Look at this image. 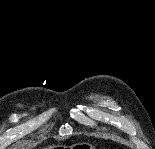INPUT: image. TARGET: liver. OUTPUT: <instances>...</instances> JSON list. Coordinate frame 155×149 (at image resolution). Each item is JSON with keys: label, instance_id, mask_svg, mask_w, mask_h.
<instances>
[{"label": "liver", "instance_id": "1", "mask_svg": "<svg viewBox=\"0 0 155 149\" xmlns=\"http://www.w3.org/2000/svg\"><path fill=\"white\" fill-rule=\"evenodd\" d=\"M53 148H54V146H50V147H49V149H53Z\"/></svg>", "mask_w": 155, "mask_h": 149}]
</instances>
